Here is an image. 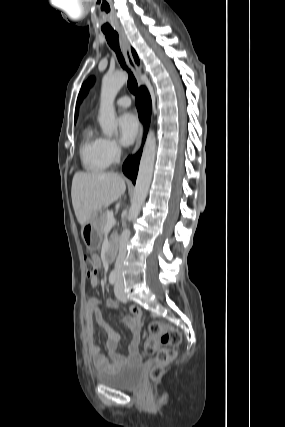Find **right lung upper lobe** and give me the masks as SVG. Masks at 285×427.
Wrapping results in <instances>:
<instances>
[{
    "mask_svg": "<svg viewBox=\"0 0 285 427\" xmlns=\"http://www.w3.org/2000/svg\"><path fill=\"white\" fill-rule=\"evenodd\" d=\"M132 54L134 56V59H135L136 63L138 64L139 63V59H138V56H137L136 52L134 51V49H132ZM75 117H77V111H76Z\"/></svg>",
    "mask_w": 285,
    "mask_h": 427,
    "instance_id": "1",
    "label": "right lung upper lobe"
}]
</instances>
